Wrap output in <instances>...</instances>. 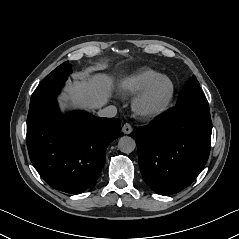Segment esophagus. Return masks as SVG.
I'll return each instance as SVG.
<instances>
[{"label": "esophagus", "mask_w": 239, "mask_h": 239, "mask_svg": "<svg viewBox=\"0 0 239 239\" xmlns=\"http://www.w3.org/2000/svg\"><path fill=\"white\" fill-rule=\"evenodd\" d=\"M132 131H133V128L129 123H126V124L123 125L122 132L124 134H130Z\"/></svg>", "instance_id": "34e87169"}]
</instances>
